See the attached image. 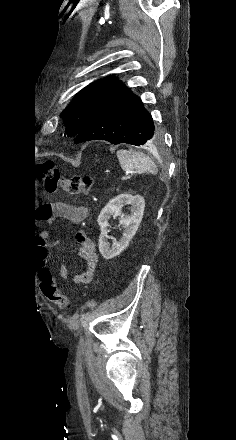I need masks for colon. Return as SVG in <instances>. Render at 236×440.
Listing matches in <instances>:
<instances>
[{
	"label": "colon",
	"instance_id": "1",
	"mask_svg": "<svg viewBox=\"0 0 236 440\" xmlns=\"http://www.w3.org/2000/svg\"><path fill=\"white\" fill-rule=\"evenodd\" d=\"M39 179L48 192L61 189L69 194L88 193L93 186V178L90 176H74L64 178L61 176L58 167L52 160H46L41 164ZM55 276H48L41 281V290L44 295L60 309L69 307V299L55 284Z\"/></svg>",
	"mask_w": 236,
	"mask_h": 440
}]
</instances>
